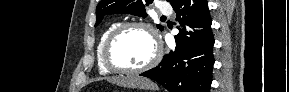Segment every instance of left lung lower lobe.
I'll use <instances>...</instances> for the list:
<instances>
[{
  "instance_id": "0a47b994",
  "label": "left lung lower lobe",
  "mask_w": 289,
  "mask_h": 92,
  "mask_svg": "<svg viewBox=\"0 0 289 92\" xmlns=\"http://www.w3.org/2000/svg\"><path fill=\"white\" fill-rule=\"evenodd\" d=\"M180 31L176 47L161 63L141 76L155 80L169 92H209L214 65V38L207 0H174Z\"/></svg>"
}]
</instances>
